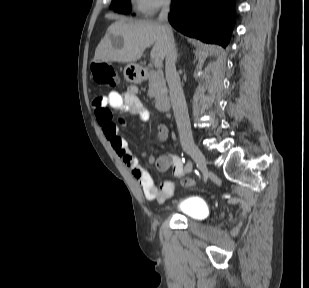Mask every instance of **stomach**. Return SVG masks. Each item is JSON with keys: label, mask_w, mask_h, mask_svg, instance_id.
I'll list each match as a JSON object with an SVG mask.
<instances>
[{"label": "stomach", "mask_w": 309, "mask_h": 288, "mask_svg": "<svg viewBox=\"0 0 309 288\" xmlns=\"http://www.w3.org/2000/svg\"><path fill=\"white\" fill-rule=\"evenodd\" d=\"M124 77L130 83H139L142 80L140 67L135 63H129L124 68Z\"/></svg>", "instance_id": "0dacf381"}]
</instances>
